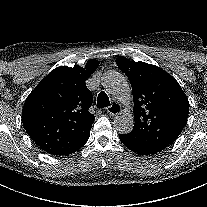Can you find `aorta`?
Instances as JSON below:
<instances>
[{"label":"aorta","instance_id":"obj_1","mask_svg":"<svg viewBox=\"0 0 207 207\" xmlns=\"http://www.w3.org/2000/svg\"><path fill=\"white\" fill-rule=\"evenodd\" d=\"M101 83L104 89L120 102L129 104L131 100V88L126 77L114 70L103 73ZM114 128L120 134H128L134 126V118L127 109L121 111L113 121Z\"/></svg>","mask_w":207,"mask_h":207}]
</instances>
